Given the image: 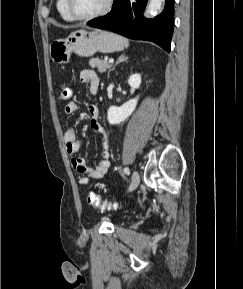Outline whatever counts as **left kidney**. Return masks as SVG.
Wrapping results in <instances>:
<instances>
[{
  "mask_svg": "<svg viewBox=\"0 0 243 289\" xmlns=\"http://www.w3.org/2000/svg\"><path fill=\"white\" fill-rule=\"evenodd\" d=\"M128 84L132 89H138L141 84L140 74H133L128 79ZM138 96L130 99L121 107L111 106L107 111V119L109 124L115 125L125 121L135 110L138 102Z\"/></svg>",
  "mask_w": 243,
  "mask_h": 289,
  "instance_id": "obj_1",
  "label": "left kidney"
}]
</instances>
